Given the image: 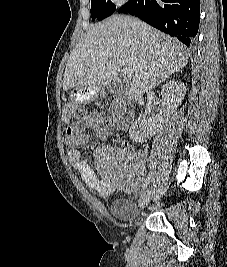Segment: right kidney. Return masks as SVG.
<instances>
[{
    "mask_svg": "<svg viewBox=\"0 0 227 267\" xmlns=\"http://www.w3.org/2000/svg\"><path fill=\"white\" fill-rule=\"evenodd\" d=\"M186 93V86L181 81H169L161 90L163 97L162 110L153 118L145 119L144 114H140L138 119L129 129V135L133 142H146L154 136L160 125L172 114L182 103Z\"/></svg>",
    "mask_w": 227,
    "mask_h": 267,
    "instance_id": "1",
    "label": "right kidney"
}]
</instances>
